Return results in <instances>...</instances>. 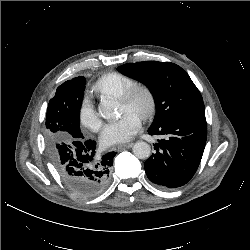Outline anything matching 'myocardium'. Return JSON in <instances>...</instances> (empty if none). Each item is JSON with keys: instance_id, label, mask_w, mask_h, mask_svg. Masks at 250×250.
Masks as SVG:
<instances>
[{"instance_id": "obj_1", "label": "myocardium", "mask_w": 250, "mask_h": 250, "mask_svg": "<svg viewBox=\"0 0 250 250\" xmlns=\"http://www.w3.org/2000/svg\"><path fill=\"white\" fill-rule=\"evenodd\" d=\"M144 96L145 107L140 112L139 117L143 120L153 116L156 110V96L153 89L145 83H135L118 97V100L126 105H132L138 96Z\"/></svg>"}]
</instances>
